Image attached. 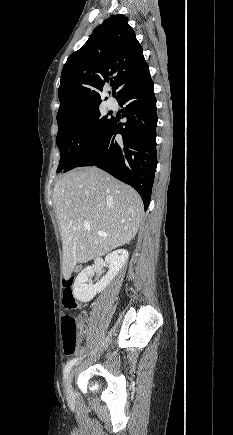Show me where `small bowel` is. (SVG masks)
<instances>
[{"mask_svg": "<svg viewBox=\"0 0 233 435\" xmlns=\"http://www.w3.org/2000/svg\"><path fill=\"white\" fill-rule=\"evenodd\" d=\"M72 289H73V288H72ZM79 306H82V304H79ZM84 333H85V327H84V325L81 323V324H80V332H79V341L82 340V338H83V336H84Z\"/></svg>", "mask_w": 233, "mask_h": 435, "instance_id": "small-bowel-1", "label": "small bowel"}]
</instances>
